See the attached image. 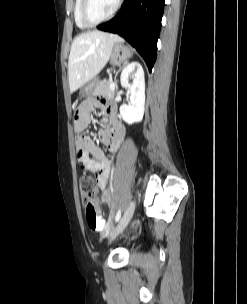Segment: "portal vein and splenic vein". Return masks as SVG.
<instances>
[{
  "mask_svg": "<svg viewBox=\"0 0 247 304\" xmlns=\"http://www.w3.org/2000/svg\"><path fill=\"white\" fill-rule=\"evenodd\" d=\"M114 87H115V83L112 82L110 86L111 90L114 89Z\"/></svg>",
  "mask_w": 247,
  "mask_h": 304,
  "instance_id": "1",
  "label": "portal vein and splenic vein"
}]
</instances>
